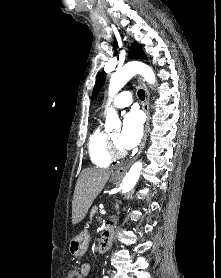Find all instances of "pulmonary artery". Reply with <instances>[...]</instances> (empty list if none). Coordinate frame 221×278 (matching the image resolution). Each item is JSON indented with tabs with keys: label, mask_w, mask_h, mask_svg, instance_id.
Wrapping results in <instances>:
<instances>
[{
	"label": "pulmonary artery",
	"mask_w": 221,
	"mask_h": 278,
	"mask_svg": "<svg viewBox=\"0 0 221 278\" xmlns=\"http://www.w3.org/2000/svg\"><path fill=\"white\" fill-rule=\"evenodd\" d=\"M133 101L132 93L129 91H123L119 93L112 101L114 108H124L129 106Z\"/></svg>",
	"instance_id": "e3ab8cb5"
}]
</instances>
